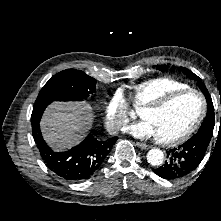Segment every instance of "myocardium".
<instances>
[{
  "label": "myocardium",
  "instance_id": "1",
  "mask_svg": "<svg viewBox=\"0 0 221 221\" xmlns=\"http://www.w3.org/2000/svg\"><path fill=\"white\" fill-rule=\"evenodd\" d=\"M185 94H195L199 98L201 107H200L198 116L184 132H182L176 137H173L170 139H160V138L155 137V141L158 144L165 145V146H175L186 141L198 129V127L200 126V124L202 123L206 115V112H207L206 99L199 90L188 87L184 89L171 91L163 95L162 97L158 98L157 100L141 107L140 111H151V112L160 111L164 109L166 106H168L175 99Z\"/></svg>",
  "mask_w": 221,
  "mask_h": 221
}]
</instances>
